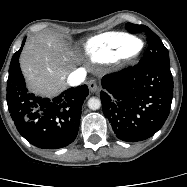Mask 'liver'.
<instances>
[{
	"instance_id": "obj_1",
	"label": "liver",
	"mask_w": 187,
	"mask_h": 187,
	"mask_svg": "<svg viewBox=\"0 0 187 187\" xmlns=\"http://www.w3.org/2000/svg\"><path fill=\"white\" fill-rule=\"evenodd\" d=\"M81 56L62 39L48 33L30 37L22 50L20 65L30 91L50 97L66 89V77Z\"/></svg>"
}]
</instances>
